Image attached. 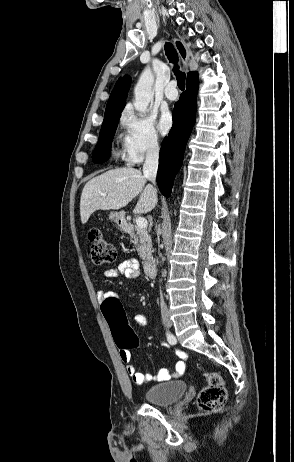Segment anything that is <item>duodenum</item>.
<instances>
[{
  "mask_svg": "<svg viewBox=\"0 0 294 462\" xmlns=\"http://www.w3.org/2000/svg\"><path fill=\"white\" fill-rule=\"evenodd\" d=\"M119 221H120V225L122 227L123 230L125 231H130L131 228L130 226L128 225V223H126L123 218H119ZM144 272H145V275L148 276V277H154L156 275V263L154 260L152 259H148L145 261L144 263Z\"/></svg>",
  "mask_w": 294,
  "mask_h": 462,
  "instance_id": "1",
  "label": "duodenum"
}]
</instances>
